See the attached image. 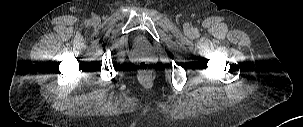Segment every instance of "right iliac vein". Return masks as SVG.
Instances as JSON below:
<instances>
[{"label":"right iliac vein","mask_w":303,"mask_h":127,"mask_svg":"<svg viewBox=\"0 0 303 127\" xmlns=\"http://www.w3.org/2000/svg\"><path fill=\"white\" fill-rule=\"evenodd\" d=\"M93 22H94L95 24H98V23H99V18H98V17H95V18L93 19Z\"/></svg>","instance_id":"63e3f726"}]
</instances>
